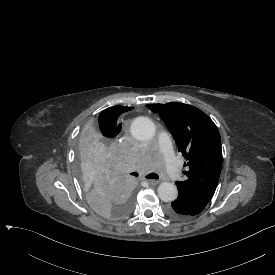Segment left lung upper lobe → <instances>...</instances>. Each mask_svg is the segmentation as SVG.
Instances as JSON below:
<instances>
[{"label": "left lung upper lobe", "mask_w": 275, "mask_h": 275, "mask_svg": "<svg viewBox=\"0 0 275 275\" xmlns=\"http://www.w3.org/2000/svg\"><path fill=\"white\" fill-rule=\"evenodd\" d=\"M172 134L184 163L186 180L176 182L179 193L191 194L209 203L219 180L222 166L221 138L213 121L198 108L179 103L149 104Z\"/></svg>", "instance_id": "1"}]
</instances>
